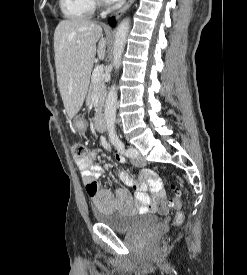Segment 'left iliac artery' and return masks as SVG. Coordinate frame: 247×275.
<instances>
[{
    "instance_id": "1",
    "label": "left iliac artery",
    "mask_w": 247,
    "mask_h": 275,
    "mask_svg": "<svg viewBox=\"0 0 247 275\" xmlns=\"http://www.w3.org/2000/svg\"><path fill=\"white\" fill-rule=\"evenodd\" d=\"M113 144L115 145L116 149L126 157L133 158L136 156L134 150L131 148L126 149L124 143L119 138H115L113 140Z\"/></svg>"
}]
</instances>
